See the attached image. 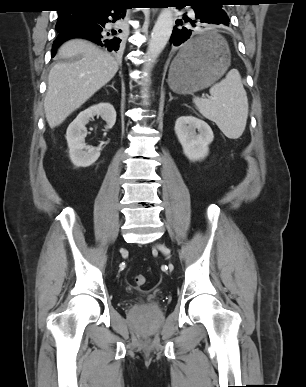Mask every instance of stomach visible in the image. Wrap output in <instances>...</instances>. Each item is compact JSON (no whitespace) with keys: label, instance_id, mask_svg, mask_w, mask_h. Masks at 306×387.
Wrapping results in <instances>:
<instances>
[{"label":"stomach","instance_id":"0dacf381","mask_svg":"<svg viewBox=\"0 0 306 387\" xmlns=\"http://www.w3.org/2000/svg\"><path fill=\"white\" fill-rule=\"evenodd\" d=\"M212 38L208 52L191 59L182 60L180 52L172 61L168 84L172 91L179 94H192L216 82L230 65L231 55L226 41L216 33L205 32L191 40L197 43Z\"/></svg>","mask_w":306,"mask_h":387}]
</instances>
